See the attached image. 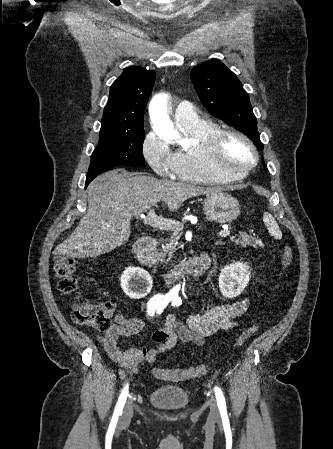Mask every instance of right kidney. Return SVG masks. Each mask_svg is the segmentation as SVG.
Here are the masks:
<instances>
[{
  "label": "right kidney",
  "mask_w": 333,
  "mask_h": 449,
  "mask_svg": "<svg viewBox=\"0 0 333 449\" xmlns=\"http://www.w3.org/2000/svg\"><path fill=\"white\" fill-rule=\"evenodd\" d=\"M121 288L132 299L142 298L152 288V277L143 268L129 267L121 276Z\"/></svg>",
  "instance_id": "right-kidney-1"
}]
</instances>
